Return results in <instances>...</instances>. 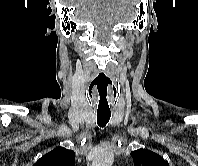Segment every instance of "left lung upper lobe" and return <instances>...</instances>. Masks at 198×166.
Returning <instances> with one entry per match:
<instances>
[{"mask_svg": "<svg viewBox=\"0 0 198 166\" xmlns=\"http://www.w3.org/2000/svg\"><path fill=\"white\" fill-rule=\"evenodd\" d=\"M134 166H169L158 154L148 149H138L131 152Z\"/></svg>", "mask_w": 198, "mask_h": 166, "instance_id": "1", "label": "left lung upper lobe"}]
</instances>
